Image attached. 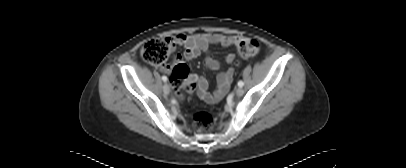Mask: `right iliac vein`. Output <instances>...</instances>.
I'll list each match as a JSON object with an SVG mask.
<instances>
[{
  "label": "right iliac vein",
  "mask_w": 406,
  "mask_h": 168,
  "mask_svg": "<svg viewBox=\"0 0 406 168\" xmlns=\"http://www.w3.org/2000/svg\"><path fill=\"white\" fill-rule=\"evenodd\" d=\"M163 92H164L165 95H169V93H170V87H169V85L167 83H165L163 85Z\"/></svg>",
  "instance_id": "1"
}]
</instances>
